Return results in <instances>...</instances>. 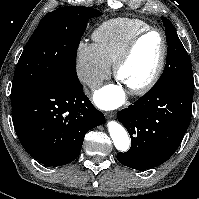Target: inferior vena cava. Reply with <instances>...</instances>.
Segmentation results:
<instances>
[{
    "label": "inferior vena cava",
    "mask_w": 199,
    "mask_h": 199,
    "mask_svg": "<svg viewBox=\"0 0 199 199\" xmlns=\"http://www.w3.org/2000/svg\"><path fill=\"white\" fill-rule=\"evenodd\" d=\"M102 80L101 79H98V78H91L89 81H88V85L91 87V88H99L101 85H102Z\"/></svg>",
    "instance_id": "obj_1"
}]
</instances>
